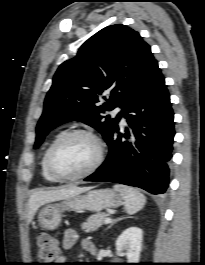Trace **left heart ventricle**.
<instances>
[{
  "label": "left heart ventricle",
  "instance_id": "b2bd125f",
  "mask_svg": "<svg viewBox=\"0 0 205 265\" xmlns=\"http://www.w3.org/2000/svg\"><path fill=\"white\" fill-rule=\"evenodd\" d=\"M95 143L85 136H73L62 142L52 155L53 168L62 175L85 171L96 159Z\"/></svg>",
  "mask_w": 205,
  "mask_h": 265
}]
</instances>
